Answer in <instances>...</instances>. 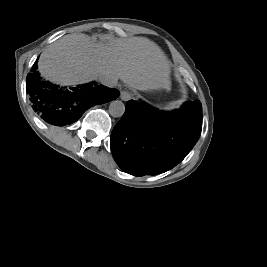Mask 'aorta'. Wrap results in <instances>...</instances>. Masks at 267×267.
I'll return each instance as SVG.
<instances>
[{"instance_id": "1", "label": "aorta", "mask_w": 267, "mask_h": 267, "mask_svg": "<svg viewBox=\"0 0 267 267\" xmlns=\"http://www.w3.org/2000/svg\"><path fill=\"white\" fill-rule=\"evenodd\" d=\"M125 112V105L120 100H114L109 105V114L115 118L123 116Z\"/></svg>"}]
</instances>
